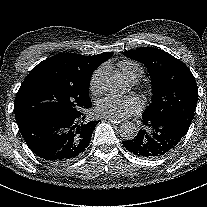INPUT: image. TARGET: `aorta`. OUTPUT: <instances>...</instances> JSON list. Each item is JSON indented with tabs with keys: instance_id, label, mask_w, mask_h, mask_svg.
<instances>
[{
	"instance_id": "aorta-1",
	"label": "aorta",
	"mask_w": 207,
	"mask_h": 207,
	"mask_svg": "<svg viewBox=\"0 0 207 207\" xmlns=\"http://www.w3.org/2000/svg\"><path fill=\"white\" fill-rule=\"evenodd\" d=\"M102 85L105 91L118 94L126 90L127 84L123 75L119 72L106 73L102 76ZM139 132L138 127L132 122H126L120 127V136L124 140L134 139Z\"/></svg>"
}]
</instances>
